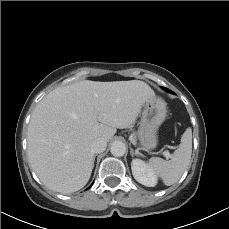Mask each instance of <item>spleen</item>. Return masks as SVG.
<instances>
[{"instance_id":"3e777b00","label":"spleen","mask_w":229,"mask_h":229,"mask_svg":"<svg viewBox=\"0 0 229 229\" xmlns=\"http://www.w3.org/2000/svg\"><path fill=\"white\" fill-rule=\"evenodd\" d=\"M192 154V131L188 128L181 138L179 148L176 149L171 160L153 157L149 160V168L159 176L165 185L170 186L179 181L189 166Z\"/></svg>"}]
</instances>
